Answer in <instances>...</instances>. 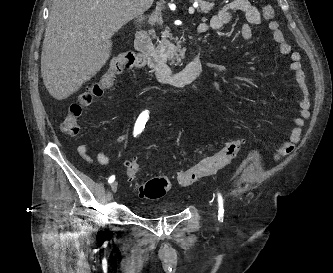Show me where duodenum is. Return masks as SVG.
<instances>
[{
    "instance_id": "duodenum-1",
    "label": "duodenum",
    "mask_w": 333,
    "mask_h": 273,
    "mask_svg": "<svg viewBox=\"0 0 333 273\" xmlns=\"http://www.w3.org/2000/svg\"><path fill=\"white\" fill-rule=\"evenodd\" d=\"M135 45L156 80L162 84L183 87L194 82L201 75L202 65L197 52L181 71L172 72L166 61L155 51L148 30H140L136 33Z\"/></svg>"
}]
</instances>
